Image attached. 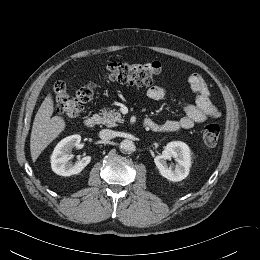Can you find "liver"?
I'll use <instances>...</instances> for the list:
<instances>
[{"mask_svg":"<svg viewBox=\"0 0 260 260\" xmlns=\"http://www.w3.org/2000/svg\"><path fill=\"white\" fill-rule=\"evenodd\" d=\"M54 103L48 94L36 113L30 138L32 161L35 162L41 152L65 129V121L61 116L51 117Z\"/></svg>","mask_w":260,"mask_h":260,"instance_id":"liver-1","label":"liver"}]
</instances>
